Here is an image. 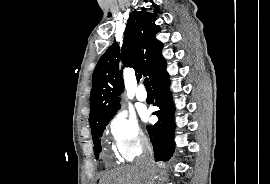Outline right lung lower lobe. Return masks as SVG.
<instances>
[{
	"mask_svg": "<svg viewBox=\"0 0 270 184\" xmlns=\"http://www.w3.org/2000/svg\"><path fill=\"white\" fill-rule=\"evenodd\" d=\"M168 78L169 75L165 69L151 83L155 97L154 106L159 108L158 111L153 113L158 117V122L153 126H147L153 145L155 161L169 160L174 151V106L169 90Z\"/></svg>",
	"mask_w": 270,
	"mask_h": 184,
	"instance_id": "1",
	"label": "right lung lower lobe"
}]
</instances>
